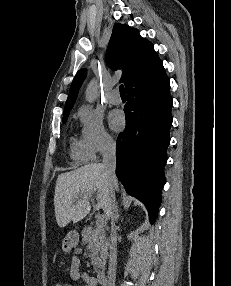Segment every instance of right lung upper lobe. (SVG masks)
<instances>
[{"label":"right lung upper lobe","mask_w":231,"mask_h":286,"mask_svg":"<svg viewBox=\"0 0 231 286\" xmlns=\"http://www.w3.org/2000/svg\"><path fill=\"white\" fill-rule=\"evenodd\" d=\"M107 64L114 70L122 69L121 82L127 87L131 82L163 70L162 61L154 51L153 45L142 38L136 29L117 23L106 52ZM87 70H79L70 87L64 115L72 109Z\"/></svg>","instance_id":"obj_1"}]
</instances>
